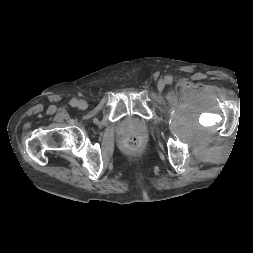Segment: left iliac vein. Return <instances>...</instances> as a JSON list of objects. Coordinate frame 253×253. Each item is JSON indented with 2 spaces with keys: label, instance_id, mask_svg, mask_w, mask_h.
Returning a JSON list of instances; mask_svg holds the SVG:
<instances>
[{
  "label": "left iliac vein",
  "instance_id": "left-iliac-vein-1",
  "mask_svg": "<svg viewBox=\"0 0 253 253\" xmlns=\"http://www.w3.org/2000/svg\"><path fill=\"white\" fill-rule=\"evenodd\" d=\"M164 86H165L164 81H159V83H158V89H159V90H163V89H164Z\"/></svg>",
  "mask_w": 253,
  "mask_h": 253
}]
</instances>
